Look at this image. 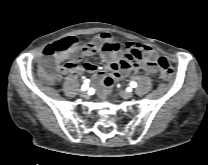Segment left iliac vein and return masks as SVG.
Listing matches in <instances>:
<instances>
[{"label":"left iliac vein","mask_w":208,"mask_h":165,"mask_svg":"<svg viewBox=\"0 0 208 165\" xmlns=\"http://www.w3.org/2000/svg\"><path fill=\"white\" fill-rule=\"evenodd\" d=\"M120 95L124 99H129L133 97V93L126 90H120Z\"/></svg>","instance_id":"4c4485c4"}]
</instances>
